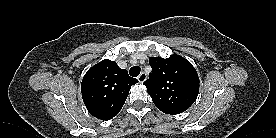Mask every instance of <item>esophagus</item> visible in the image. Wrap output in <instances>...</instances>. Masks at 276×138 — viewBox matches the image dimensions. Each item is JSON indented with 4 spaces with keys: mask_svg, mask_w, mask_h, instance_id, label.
<instances>
[{
    "mask_svg": "<svg viewBox=\"0 0 276 138\" xmlns=\"http://www.w3.org/2000/svg\"><path fill=\"white\" fill-rule=\"evenodd\" d=\"M147 76L144 72H142L139 76H138V81L139 83H143L146 80Z\"/></svg>",
    "mask_w": 276,
    "mask_h": 138,
    "instance_id": "1",
    "label": "esophagus"
}]
</instances>
